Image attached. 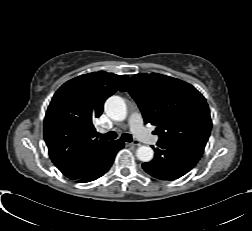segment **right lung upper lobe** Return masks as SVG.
Instances as JSON below:
<instances>
[{"instance_id":"obj_1","label":"right lung upper lobe","mask_w":252,"mask_h":231,"mask_svg":"<svg viewBox=\"0 0 252 231\" xmlns=\"http://www.w3.org/2000/svg\"><path fill=\"white\" fill-rule=\"evenodd\" d=\"M127 78L105 71L84 74L67 81L53 96L44 119V139L52 162L69 179L81 178L92 158L112 142L95 138L92 120Z\"/></svg>"}]
</instances>
